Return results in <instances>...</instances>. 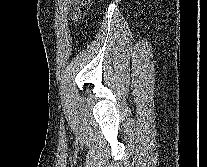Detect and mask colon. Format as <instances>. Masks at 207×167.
Returning <instances> with one entry per match:
<instances>
[{"label": "colon", "mask_w": 207, "mask_h": 167, "mask_svg": "<svg viewBox=\"0 0 207 167\" xmlns=\"http://www.w3.org/2000/svg\"><path fill=\"white\" fill-rule=\"evenodd\" d=\"M76 6L73 11V18L78 20L84 13L85 8L89 0H76Z\"/></svg>", "instance_id": "colon-1"}]
</instances>
